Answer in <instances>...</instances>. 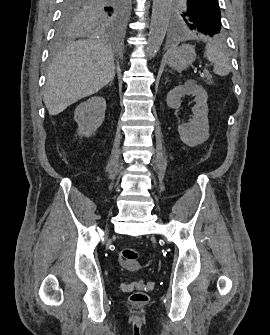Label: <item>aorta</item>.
Segmentation results:
<instances>
[{
    "mask_svg": "<svg viewBox=\"0 0 270 335\" xmlns=\"http://www.w3.org/2000/svg\"><path fill=\"white\" fill-rule=\"evenodd\" d=\"M171 2L172 0H153L151 24L149 28L147 56H155L159 52L167 26L171 16Z\"/></svg>",
    "mask_w": 270,
    "mask_h": 335,
    "instance_id": "762f6f07",
    "label": "aorta"
}]
</instances>
